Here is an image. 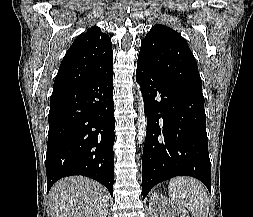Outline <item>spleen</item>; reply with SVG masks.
I'll use <instances>...</instances> for the list:
<instances>
[{
  "label": "spleen",
  "instance_id": "1",
  "mask_svg": "<svg viewBox=\"0 0 253 217\" xmlns=\"http://www.w3.org/2000/svg\"><path fill=\"white\" fill-rule=\"evenodd\" d=\"M168 193L173 204L187 208L193 217H208V195L200 181L184 176L172 178Z\"/></svg>",
  "mask_w": 253,
  "mask_h": 217
}]
</instances>
